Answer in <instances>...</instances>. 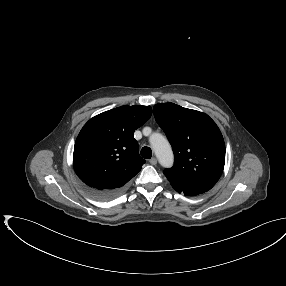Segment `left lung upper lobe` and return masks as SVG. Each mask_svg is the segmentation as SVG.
Returning a JSON list of instances; mask_svg holds the SVG:
<instances>
[{
	"instance_id": "5c2ea615",
	"label": "left lung upper lobe",
	"mask_w": 286,
	"mask_h": 286,
	"mask_svg": "<svg viewBox=\"0 0 286 286\" xmlns=\"http://www.w3.org/2000/svg\"><path fill=\"white\" fill-rule=\"evenodd\" d=\"M154 117L175 156L164 175L183 192L204 193L219 180L225 164V144L215 122L205 113L174 103L154 106Z\"/></svg>"
}]
</instances>
